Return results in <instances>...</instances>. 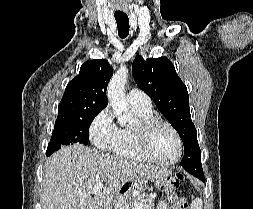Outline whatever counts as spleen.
I'll return each instance as SVG.
<instances>
[{
	"label": "spleen",
	"mask_w": 253,
	"mask_h": 209,
	"mask_svg": "<svg viewBox=\"0 0 253 209\" xmlns=\"http://www.w3.org/2000/svg\"><path fill=\"white\" fill-rule=\"evenodd\" d=\"M202 200L201 199H195L191 203V209H202Z\"/></svg>",
	"instance_id": "spleen-1"
}]
</instances>
